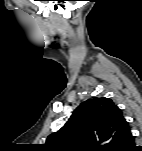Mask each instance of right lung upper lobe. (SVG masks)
I'll use <instances>...</instances> for the list:
<instances>
[{"label":"right lung upper lobe","instance_id":"right-lung-upper-lobe-1","mask_svg":"<svg viewBox=\"0 0 142 151\" xmlns=\"http://www.w3.org/2000/svg\"><path fill=\"white\" fill-rule=\"evenodd\" d=\"M134 140L122 111L109 98L81 103L46 140L49 151H121Z\"/></svg>","mask_w":142,"mask_h":151}]
</instances>
